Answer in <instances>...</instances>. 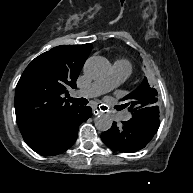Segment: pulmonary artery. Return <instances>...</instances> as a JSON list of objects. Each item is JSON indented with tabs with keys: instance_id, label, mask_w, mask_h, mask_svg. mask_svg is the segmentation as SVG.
Wrapping results in <instances>:
<instances>
[{
	"instance_id": "pulmonary-artery-1",
	"label": "pulmonary artery",
	"mask_w": 193,
	"mask_h": 193,
	"mask_svg": "<svg viewBox=\"0 0 193 193\" xmlns=\"http://www.w3.org/2000/svg\"><path fill=\"white\" fill-rule=\"evenodd\" d=\"M131 73V67L120 61H116L113 64V74H112V85L116 86L122 83L128 78ZM108 89L105 86L104 82H94L90 84L87 88L80 90L85 96L88 97H97L105 94Z\"/></svg>"
}]
</instances>
